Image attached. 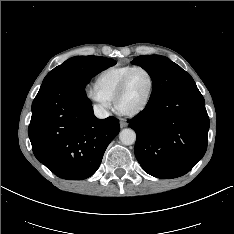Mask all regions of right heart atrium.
<instances>
[{"mask_svg": "<svg viewBox=\"0 0 234 234\" xmlns=\"http://www.w3.org/2000/svg\"><path fill=\"white\" fill-rule=\"evenodd\" d=\"M86 96L101 110L107 111L111 107V100L107 98L96 85L86 88Z\"/></svg>", "mask_w": 234, "mask_h": 234, "instance_id": "obj_1", "label": "right heart atrium"}]
</instances>
